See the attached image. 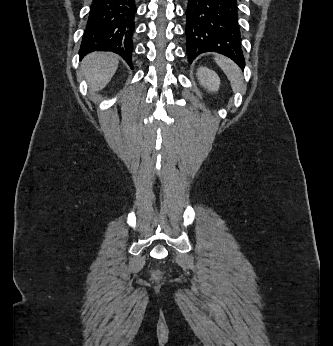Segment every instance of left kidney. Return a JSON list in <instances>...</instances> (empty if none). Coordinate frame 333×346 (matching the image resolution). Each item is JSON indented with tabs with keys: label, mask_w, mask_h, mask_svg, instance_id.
Returning <instances> with one entry per match:
<instances>
[{
	"label": "left kidney",
	"mask_w": 333,
	"mask_h": 346,
	"mask_svg": "<svg viewBox=\"0 0 333 346\" xmlns=\"http://www.w3.org/2000/svg\"><path fill=\"white\" fill-rule=\"evenodd\" d=\"M197 77L200 84L208 91L215 92L219 89L220 78L215 71L207 67H200L197 70Z\"/></svg>",
	"instance_id": "1"
}]
</instances>
